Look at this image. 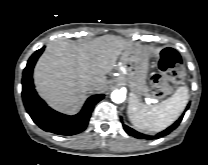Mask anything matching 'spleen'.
<instances>
[{
	"mask_svg": "<svg viewBox=\"0 0 208 165\" xmlns=\"http://www.w3.org/2000/svg\"><path fill=\"white\" fill-rule=\"evenodd\" d=\"M188 88L179 87L167 100L156 105H145L130 95L128 117L138 129L159 132L174 123L188 103Z\"/></svg>",
	"mask_w": 208,
	"mask_h": 165,
	"instance_id": "1",
	"label": "spleen"
}]
</instances>
